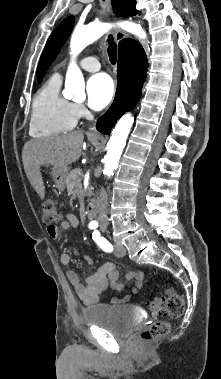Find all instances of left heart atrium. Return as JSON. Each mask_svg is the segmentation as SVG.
<instances>
[{"mask_svg": "<svg viewBox=\"0 0 221 379\" xmlns=\"http://www.w3.org/2000/svg\"><path fill=\"white\" fill-rule=\"evenodd\" d=\"M86 91L88 106L93 110H101L113 99L115 85L107 74L100 73L88 80Z\"/></svg>", "mask_w": 221, "mask_h": 379, "instance_id": "obj_1", "label": "left heart atrium"}]
</instances>
